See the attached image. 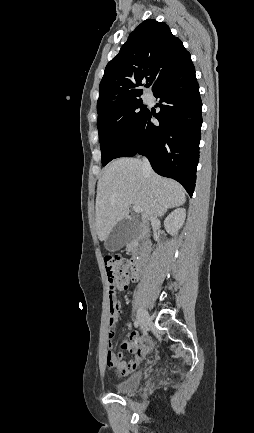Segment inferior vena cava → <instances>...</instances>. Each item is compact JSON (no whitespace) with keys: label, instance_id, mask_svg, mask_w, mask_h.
Segmentation results:
<instances>
[{"label":"inferior vena cava","instance_id":"1","mask_svg":"<svg viewBox=\"0 0 254 433\" xmlns=\"http://www.w3.org/2000/svg\"><path fill=\"white\" fill-rule=\"evenodd\" d=\"M143 168H144L146 171H150V170H151V166H150V163H149V161H148L147 158H143ZM150 219L153 220L154 217H150Z\"/></svg>","mask_w":254,"mask_h":433}]
</instances>
